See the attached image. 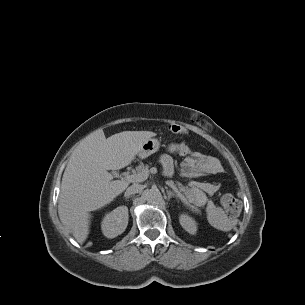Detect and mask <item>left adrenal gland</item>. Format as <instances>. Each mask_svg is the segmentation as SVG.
<instances>
[{
    "mask_svg": "<svg viewBox=\"0 0 305 305\" xmlns=\"http://www.w3.org/2000/svg\"><path fill=\"white\" fill-rule=\"evenodd\" d=\"M170 186V185H169ZM173 188V187H172ZM174 189V188H173ZM175 190V189H174ZM167 194H168V199H170L171 197H178V195L176 193H174L171 190H167Z\"/></svg>",
    "mask_w": 305,
    "mask_h": 305,
    "instance_id": "1",
    "label": "left adrenal gland"
}]
</instances>
